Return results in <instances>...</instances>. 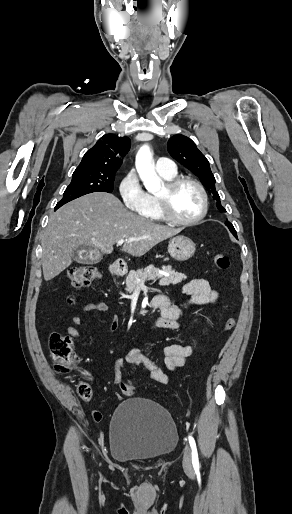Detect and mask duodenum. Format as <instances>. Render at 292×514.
<instances>
[{
    "mask_svg": "<svg viewBox=\"0 0 292 514\" xmlns=\"http://www.w3.org/2000/svg\"><path fill=\"white\" fill-rule=\"evenodd\" d=\"M124 273L125 272H124L123 269H119L117 271V275L118 276H123ZM151 306L154 309H160V310H163V311H168L171 308V303H170L169 299L165 295H156L153 298V300H152ZM160 327L161 326L158 323L155 324V328L161 329Z\"/></svg>",
    "mask_w": 292,
    "mask_h": 514,
    "instance_id": "1",
    "label": "duodenum"
}]
</instances>
